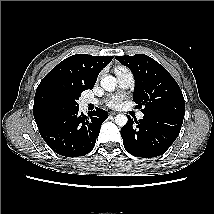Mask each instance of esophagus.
<instances>
[{
  "label": "esophagus",
  "instance_id": "obj_1",
  "mask_svg": "<svg viewBox=\"0 0 214 214\" xmlns=\"http://www.w3.org/2000/svg\"><path fill=\"white\" fill-rule=\"evenodd\" d=\"M109 114L115 116L117 112H110Z\"/></svg>",
  "mask_w": 214,
  "mask_h": 214
}]
</instances>
